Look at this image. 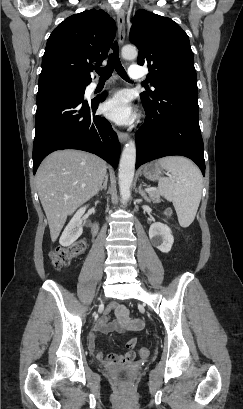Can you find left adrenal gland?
<instances>
[{"instance_id": "1", "label": "left adrenal gland", "mask_w": 243, "mask_h": 409, "mask_svg": "<svg viewBox=\"0 0 243 409\" xmlns=\"http://www.w3.org/2000/svg\"><path fill=\"white\" fill-rule=\"evenodd\" d=\"M138 192L144 198V200L149 201V198L147 197L146 193L142 189V184H140L138 188Z\"/></svg>"}]
</instances>
